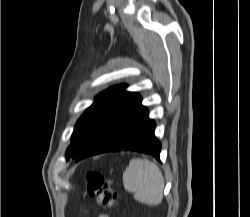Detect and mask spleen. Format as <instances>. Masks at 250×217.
Instances as JSON below:
<instances>
[{"label": "spleen", "instance_id": "3e777b00", "mask_svg": "<svg viewBox=\"0 0 250 217\" xmlns=\"http://www.w3.org/2000/svg\"><path fill=\"white\" fill-rule=\"evenodd\" d=\"M123 186L142 204L156 206L163 200L164 178L156 164L141 158L130 160L123 173Z\"/></svg>", "mask_w": 250, "mask_h": 217}]
</instances>
